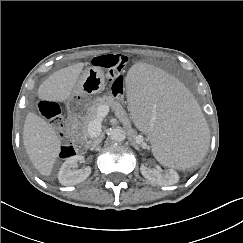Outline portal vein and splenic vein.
I'll list each match as a JSON object with an SVG mask.
<instances>
[{
    "label": "portal vein and splenic vein",
    "mask_w": 243,
    "mask_h": 243,
    "mask_svg": "<svg viewBox=\"0 0 243 243\" xmlns=\"http://www.w3.org/2000/svg\"><path fill=\"white\" fill-rule=\"evenodd\" d=\"M108 105H101L98 108L97 118L91 121L88 125V133L91 137L97 136L101 132V121L109 113Z\"/></svg>",
    "instance_id": "portal-vein-and-splenic-vein-1"
}]
</instances>
